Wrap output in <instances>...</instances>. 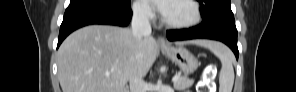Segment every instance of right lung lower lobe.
I'll return each mask as SVG.
<instances>
[{
  "mask_svg": "<svg viewBox=\"0 0 296 92\" xmlns=\"http://www.w3.org/2000/svg\"><path fill=\"white\" fill-rule=\"evenodd\" d=\"M132 11L130 0L115 4L107 0H71L60 27L58 45L74 30L91 24L126 26Z\"/></svg>",
  "mask_w": 296,
  "mask_h": 92,
  "instance_id": "right-lung-lower-lobe-1",
  "label": "right lung lower lobe"
}]
</instances>
